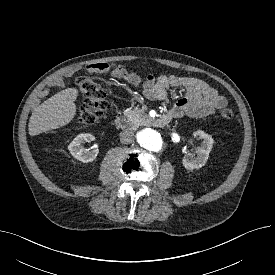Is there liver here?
<instances>
[{"label":"liver","mask_w":275,"mask_h":275,"mask_svg":"<svg viewBox=\"0 0 275 275\" xmlns=\"http://www.w3.org/2000/svg\"><path fill=\"white\" fill-rule=\"evenodd\" d=\"M77 96L76 88H67L36 107L29 120V134L35 136L69 124L77 112Z\"/></svg>","instance_id":"6515ba94"}]
</instances>
